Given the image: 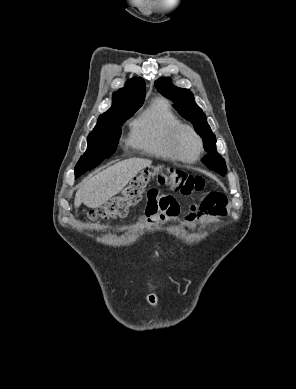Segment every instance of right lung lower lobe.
Instances as JSON below:
<instances>
[{
    "label": "right lung lower lobe",
    "instance_id": "1",
    "mask_svg": "<svg viewBox=\"0 0 296 389\" xmlns=\"http://www.w3.org/2000/svg\"><path fill=\"white\" fill-rule=\"evenodd\" d=\"M95 166V164H86L84 166L75 168V178H78L81 174L85 173L90 169H93Z\"/></svg>",
    "mask_w": 296,
    "mask_h": 389
}]
</instances>
